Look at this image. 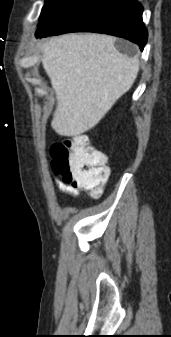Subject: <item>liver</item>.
Returning a JSON list of instances; mask_svg holds the SVG:
<instances>
[{
	"mask_svg": "<svg viewBox=\"0 0 171 337\" xmlns=\"http://www.w3.org/2000/svg\"><path fill=\"white\" fill-rule=\"evenodd\" d=\"M116 39L68 34L43 42L42 65L56 93L51 122L61 136L93 128L133 85L139 62L119 52Z\"/></svg>",
	"mask_w": 171,
	"mask_h": 337,
	"instance_id": "6515ba94",
	"label": "liver"
}]
</instances>
